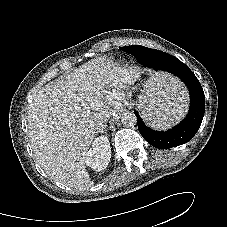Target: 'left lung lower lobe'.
Returning a JSON list of instances; mask_svg holds the SVG:
<instances>
[{
    "mask_svg": "<svg viewBox=\"0 0 227 227\" xmlns=\"http://www.w3.org/2000/svg\"><path fill=\"white\" fill-rule=\"evenodd\" d=\"M128 52L144 66L155 70H164L178 76L187 85L191 98L190 110L186 118L179 125L166 132L150 129L142 122L139 114L134 111L142 137L159 149L176 147L191 140L201 125L205 111V95L194 73L177 58L159 50L134 45L128 49Z\"/></svg>",
    "mask_w": 227,
    "mask_h": 227,
    "instance_id": "left-lung-lower-lobe-1",
    "label": "left lung lower lobe"
}]
</instances>
